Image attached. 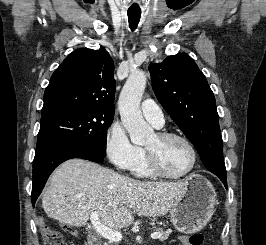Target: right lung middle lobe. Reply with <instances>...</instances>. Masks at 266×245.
Here are the masks:
<instances>
[{
    "label": "right lung middle lobe",
    "mask_w": 266,
    "mask_h": 245,
    "mask_svg": "<svg viewBox=\"0 0 266 245\" xmlns=\"http://www.w3.org/2000/svg\"><path fill=\"white\" fill-rule=\"evenodd\" d=\"M113 118L114 112L86 107L61 111L41 119L37 149L67 142L106 156L107 129Z\"/></svg>",
    "instance_id": "1"
}]
</instances>
